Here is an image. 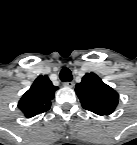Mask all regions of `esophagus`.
Here are the masks:
<instances>
[{
    "instance_id": "1",
    "label": "esophagus",
    "mask_w": 137,
    "mask_h": 145,
    "mask_svg": "<svg viewBox=\"0 0 137 145\" xmlns=\"http://www.w3.org/2000/svg\"><path fill=\"white\" fill-rule=\"evenodd\" d=\"M63 85L65 87H70L71 88V87H74L75 84L72 81H67V82H64Z\"/></svg>"
}]
</instances>
